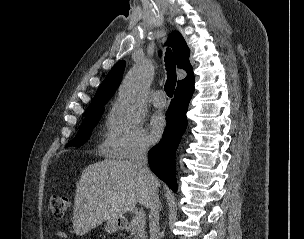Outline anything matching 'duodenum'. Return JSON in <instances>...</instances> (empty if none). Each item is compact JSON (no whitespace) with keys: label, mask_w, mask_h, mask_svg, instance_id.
<instances>
[{"label":"duodenum","mask_w":304,"mask_h":239,"mask_svg":"<svg viewBox=\"0 0 304 239\" xmlns=\"http://www.w3.org/2000/svg\"><path fill=\"white\" fill-rule=\"evenodd\" d=\"M118 226L121 229H126L128 226V223H127V221L120 219V220H118Z\"/></svg>","instance_id":"obj_1"}]
</instances>
